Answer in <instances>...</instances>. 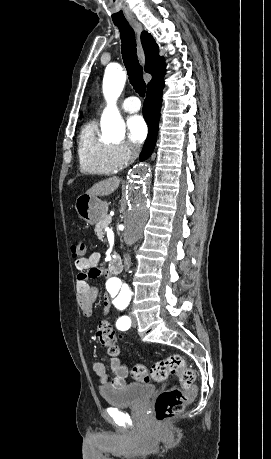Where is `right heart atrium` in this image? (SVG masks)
I'll use <instances>...</instances> for the list:
<instances>
[{"instance_id": "1", "label": "right heart atrium", "mask_w": 271, "mask_h": 459, "mask_svg": "<svg viewBox=\"0 0 271 459\" xmlns=\"http://www.w3.org/2000/svg\"><path fill=\"white\" fill-rule=\"evenodd\" d=\"M138 148L128 142L114 144V156L121 165L131 163L138 156Z\"/></svg>"}]
</instances>
